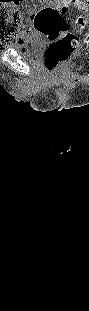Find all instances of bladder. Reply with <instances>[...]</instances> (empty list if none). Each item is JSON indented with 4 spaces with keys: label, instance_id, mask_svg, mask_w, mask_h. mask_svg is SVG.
<instances>
[{
    "label": "bladder",
    "instance_id": "obj_1",
    "mask_svg": "<svg viewBox=\"0 0 89 311\" xmlns=\"http://www.w3.org/2000/svg\"><path fill=\"white\" fill-rule=\"evenodd\" d=\"M10 49L17 52L24 60L34 62L42 53L43 43L36 38L26 37L22 42L12 44Z\"/></svg>",
    "mask_w": 89,
    "mask_h": 311
}]
</instances>
